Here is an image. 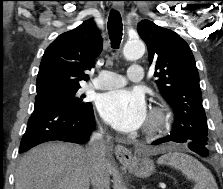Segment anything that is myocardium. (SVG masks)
Returning <instances> with one entry per match:
<instances>
[{
	"label": "myocardium",
	"instance_id": "1",
	"mask_svg": "<svg viewBox=\"0 0 223 189\" xmlns=\"http://www.w3.org/2000/svg\"><path fill=\"white\" fill-rule=\"evenodd\" d=\"M170 123L171 116L169 111L165 107L154 106L150 110L145 126V133L148 135H155L166 129Z\"/></svg>",
	"mask_w": 223,
	"mask_h": 189
}]
</instances>
